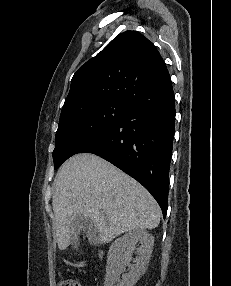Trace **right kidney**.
I'll return each instance as SVG.
<instances>
[{
  "mask_svg": "<svg viewBox=\"0 0 231 286\" xmlns=\"http://www.w3.org/2000/svg\"><path fill=\"white\" fill-rule=\"evenodd\" d=\"M141 246L136 249L137 244ZM154 245V237L144 229L130 231L116 239L108 252L104 286H134L145 272ZM136 251V258H132ZM134 264L131 265L130 262ZM130 268L124 273L126 267ZM121 278V279H120Z\"/></svg>",
  "mask_w": 231,
  "mask_h": 286,
  "instance_id": "ca27d5eb",
  "label": "right kidney"
}]
</instances>
